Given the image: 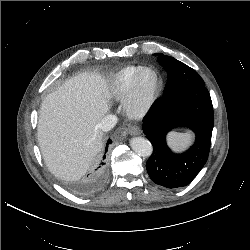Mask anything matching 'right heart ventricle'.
I'll list each match as a JSON object with an SVG mask.
<instances>
[{
    "label": "right heart ventricle",
    "instance_id": "e07e8e85",
    "mask_svg": "<svg viewBox=\"0 0 250 250\" xmlns=\"http://www.w3.org/2000/svg\"><path fill=\"white\" fill-rule=\"evenodd\" d=\"M143 68L141 65H129L113 73L105 84V94L113 99L123 98Z\"/></svg>",
    "mask_w": 250,
    "mask_h": 250
}]
</instances>
